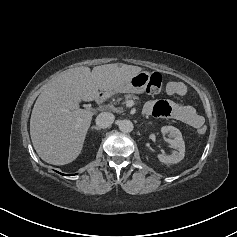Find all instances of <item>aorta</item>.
Segmentation results:
<instances>
[{
  "label": "aorta",
  "instance_id": "762f6f07",
  "mask_svg": "<svg viewBox=\"0 0 237 237\" xmlns=\"http://www.w3.org/2000/svg\"><path fill=\"white\" fill-rule=\"evenodd\" d=\"M118 126H119L120 131L123 133H129L133 130L132 122L127 119L121 120Z\"/></svg>",
  "mask_w": 237,
  "mask_h": 237
}]
</instances>
